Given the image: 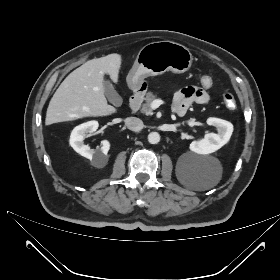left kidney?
<instances>
[{
  "mask_svg": "<svg viewBox=\"0 0 280 280\" xmlns=\"http://www.w3.org/2000/svg\"><path fill=\"white\" fill-rule=\"evenodd\" d=\"M207 124L217 127L218 133H207L203 139L191 142L189 148L194 153L203 155L213 153L228 143L231 138L233 132L232 123L223 119L209 117Z\"/></svg>",
  "mask_w": 280,
  "mask_h": 280,
  "instance_id": "left-kidney-1",
  "label": "left kidney"
}]
</instances>
